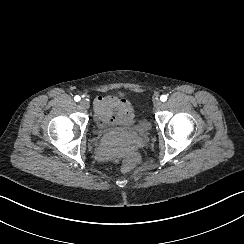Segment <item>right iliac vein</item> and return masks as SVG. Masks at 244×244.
I'll use <instances>...</instances> for the list:
<instances>
[{
  "label": "right iliac vein",
  "instance_id": "63e3f726",
  "mask_svg": "<svg viewBox=\"0 0 244 244\" xmlns=\"http://www.w3.org/2000/svg\"><path fill=\"white\" fill-rule=\"evenodd\" d=\"M79 105H80V107L83 108V109H87V108H89V106H90L89 102H88L87 100H85V99H82V100L79 102Z\"/></svg>",
  "mask_w": 244,
  "mask_h": 244
}]
</instances>
